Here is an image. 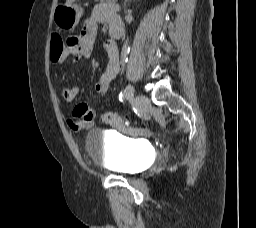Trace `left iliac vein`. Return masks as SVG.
<instances>
[{"mask_svg":"<svg viewBox=\"0 0 256 228\" xmlns=\"http://www.w3.org/2000/svg\"><path fill=\"white\" fill-rule=\"evenodd\" d=\"M135 102L140 111H145L150 105L148 97L143 94L137 95L135 98Z\"/></svg>","mask_w":256,"mask_h":228,"instance_id":"1","label":"left iliac vein"}]
</instances>
